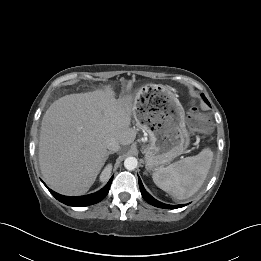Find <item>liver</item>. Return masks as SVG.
<instances>
[{
  "instance_id": "1",
  "label": "liver",
  "mask_w": 261,
  "mask_h": 261,
  "mask_svg": "<svg viewBox=\"0 0 261 261\" xmlns=\"http://www.w3.org/2000/svg\"><path fill=\"white\" fill-rule=\"evenodd\" d=\"M131 98L116 100L107 87L63 96L43 116L39 164L45 182L64 195L86 193L106 161V139L126 146L136 138L130 128Z\"/></svg>"
}]
</instances>
